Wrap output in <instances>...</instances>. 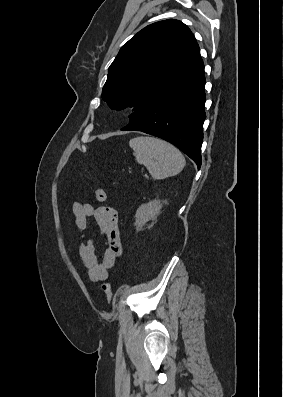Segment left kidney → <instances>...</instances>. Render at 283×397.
Segmentation results:
<instances>
[{
	"mask_svg": "<svg viewBox=\"0 0 283 397\" xmlns=\"http://www.w3.org/2000/svg\"><path fill=\"white\" fill-rule=\"evenodd\" d=\"M167 204V201H163ZM162 208V203L159 199H155L146 204L141 205L135 214V226L137 231H141L143 226L150 220L155 219V217L160 213Z\"/></svg>",
	"mask_w": 283,
	"mask_h": 397,
	"instance_id": "1",
	"label": "left kidney"
}]
</instances>
